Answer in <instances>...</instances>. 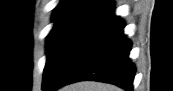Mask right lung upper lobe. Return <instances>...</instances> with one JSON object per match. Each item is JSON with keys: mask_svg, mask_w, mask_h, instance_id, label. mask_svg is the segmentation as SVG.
<instances>
[{"mask_svg": "<svg viewBox=\"0 0 173 91\" xmlns=\"http://www.w3.org/2000/svg\"><path fill=\"white\" fill-rule=\"evenodd\" d=\"M106 2L107 0H62L55 8L52 21L56 24L68 22L85 24L109 9L104 5Z\"/></svg>", "mask_w": 173, "mask_h": 91, "instance_id": "obj_1", "label": "right lung upper lobe"}]
</instances>
